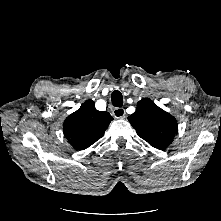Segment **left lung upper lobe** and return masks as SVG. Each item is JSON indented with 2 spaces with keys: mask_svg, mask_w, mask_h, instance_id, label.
I'll return each mask as SVG.
<instances>
[{
  "mask_svg": "<svg viewBox=\"0 0 221 221\" xmlns=\"http://www.w3.org/2000/svg\"><path fill=\"white\" fill-rule=\"evenodd\" d=\"M128 120L139 137L160 150L171 144L178 131L176 119L149 98L137 103L136 111Z\"/></svg>",
  "mask_w": 221,
  "mask_h": 221,
  "instance_id": "left-lung-upper-lobe-1",
  "label": "left lung upper lobe"
}]
</instances>
